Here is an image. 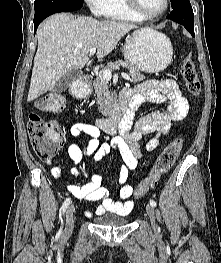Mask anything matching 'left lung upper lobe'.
<instances>
[{"label": "left lung upper lobe", "instance_id": "5c2ea615", "mask_svg": "<svg viewBox=\"0 0 221 263\" xmlns=\"http://www.w3.org/2000/svg\"><path fill=\"white\" fill-rule=\"evenodd\" d=\"M190 4L189 0H171L172 8H178Z\"/></svg>", "mask_w": 221, "mask_h": 263}]
</instances>
